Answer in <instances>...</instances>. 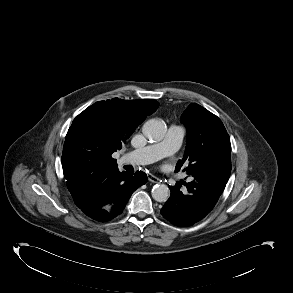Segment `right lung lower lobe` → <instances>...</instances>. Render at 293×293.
I'll return each instance as SVG.
<instances>
[{
  "label": "right lung lower lobe",
  "mask_w": 293,
  "mask_h": 293,
  "mask_svg": "<svg viewBox=\"0 0 293 293\" xmlns=\"http://www.w3.org/2000/svg\"><path fill=\"white\" fill-rule=\"evenodd\" d=\"M147 182L141 171L134 174L119 172L118 167L100 169L82 179L71 195L75 204L89 217L97 221H108L120 215L132 193ZM108 204L98 210L88 204Z\"/></svg>",
  "instance_id": "right-lung-lower-lobe-1"
}]
</instances>
